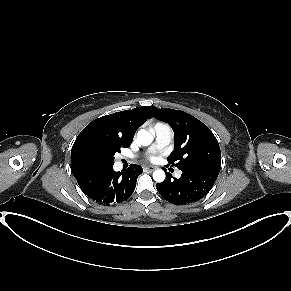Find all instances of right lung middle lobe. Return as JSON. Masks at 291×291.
<instances>
[{
  "label": "right lung middle lobe",
  "instance_id": "dd1d6c3e",
  "mask_svg": "<svg viewBox=\"0 0 291 291\" xmlns=\"http://www.w3.org/2000/svg\"><path fill=\"white\" fill-rule=\"evenodd\" d=\"M127 148L117 140L91 137L85 140L76 152L77 165L87 171L110 168L114 165V155L121 148Z\"/></svg>",
  "mask_w": 291,
  "mask_h": 291
}]
</instances>
